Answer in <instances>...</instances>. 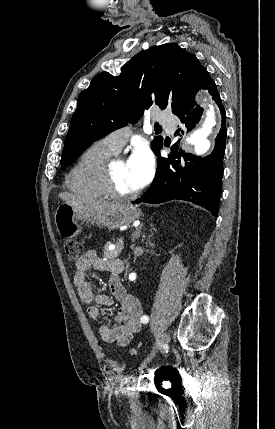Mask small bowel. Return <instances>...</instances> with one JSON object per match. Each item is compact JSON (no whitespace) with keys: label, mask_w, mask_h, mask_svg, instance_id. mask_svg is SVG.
<instances>
[{"label":"small bowel","mask_w":275,"mask_h":429,"mask_svg":"<svg viewBox=\"0 0 275 429\" xmlns=\"http://www.w3.org/2000/svg\"><path fill=\"white\" fill-rule=\"evenodd\" d=\"M119 262L118 260L102 259L94 251L89 250L77 260L73 281L80 299L88 305V315L94 322L103 319L100 307L111 306L114 300L120 303V308L114 317L117 325L111 326L107 322L102 323L99 327V334L103 341L124 347L130 343L133 335L141 328L142 306L138 298L127 293L118 278L116 268ZM91 269L110 273L109 288L112 296L94 292L93 286L87 278V273ZM135 353L133 350L132 354Z\"/></svg>","instance_id":"obj_1"}]
</instances>
